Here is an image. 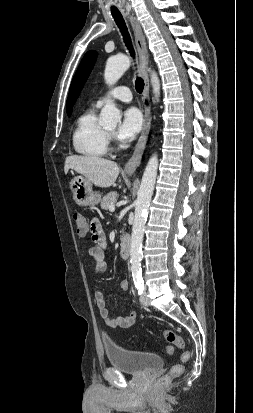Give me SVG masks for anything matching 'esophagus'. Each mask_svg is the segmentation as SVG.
Wrapping results in <instances>:
<instances>
[{"instance_id":"obj_1","label":"esophagus","mask_w":253,"mask_h":413,"mask_svg":"<svg viewBox=\"0 0 253 413\" xmlns=\"http://www.w3.org/2000/svg\"><path fill=\"white\" fill-rule=\"evenodd\" d=\"M129 21L133 29L135 44H136L138 55H139L140 72L144 79L143 95H144V98L147 99L149 95V78H148L149 59H148V52L146 48L145 36L142 32V28H141L139 21L133 14L129 16ZM150 123H151L150 110L148 106H145L144 124H143L141 135L134 148L132 156L127 161L124 167V171L127 174H133L140 164L141 156L143 154V151L146 145L147 136H148L149 129H150Z\"/></svg>"}]
</instances>
